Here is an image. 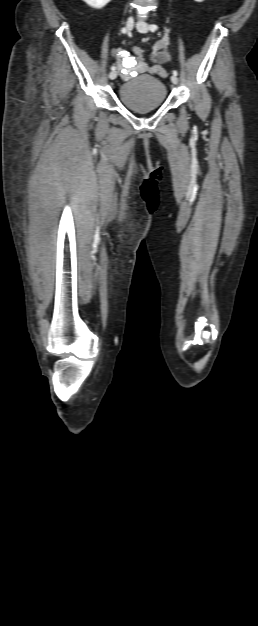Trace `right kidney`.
<instances>
[{"label": "right kidney", "instance_id": "1", "mask_svg": "<svg viewBox=\"0 0 258 626\" xmlns=\"http://www.w3.org/2000/svg\"><path fill=\"white\" fill-rule=\"evenodd\" d=\"M83 1L86 2V4L92 8L101 9L111 0H83Z\"/></svg>", "mask_w": 258, "mask_h": 626}]
</instances>
